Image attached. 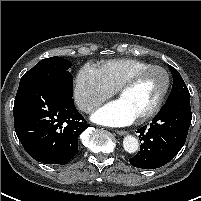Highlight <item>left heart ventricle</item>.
<instances>
[{
	"label": "left heart ventricle",
	"mask_w": 201,
	"mask_h": 201,
	"mask_svg": "<svg viewBox=\"0 0 201 201\" xmlns=\"http://www.w3.org/2000/svg\"><path fill=\"white\" fill-rule=\"evenodd\" d=\"M164 82L163 73L159 70H154L144 76L133 87L126 90L120 96V99L138 117L155 105L164 87Z\"/></svg>",
	"instance_id": "1"
}]
</instances>
